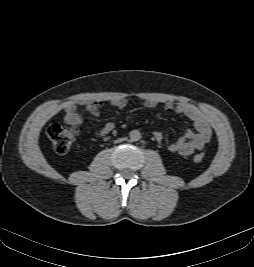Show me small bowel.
Listing matches in <instances>:
<instances>
[{"label": "small bowel", "instance_id": "c3829d8e", "mask_svg": "<svg viewBox=\"0 0 254 267\" xmlns=\"http://www.w3.org/2000/svg\"><path fill=\"white\" fill-rule=\"evenodd\" d=\"M111 105L118 109L128 107V100L125 98L114 99ZM158 102L153 99H147L141 102V106L145 108H154ZM105 106L103 101H95L93 103H69L64 108L65 123L80 127L83 125L84 115L90 114L99 116L101 109ZM163 108L167 112H174L177 115L186 117L193 122L195 131L188 130L177 141L169 145V150L174 153H179L184 156H189L197 150H201L211 139L212 130L207 118L194 106L189 104L173 105L165 103ZM115 127L113 121L107 122L101 129L94 132L96 136L102 137L109 134ZM157 141L162 140V135L159 132L155 133Z\"/></svg>", "mask_w": 254, "mask_h": 267}]
</instances>
